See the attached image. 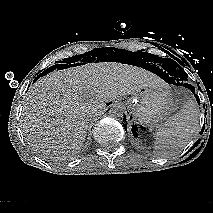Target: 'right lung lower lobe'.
<instances>
[{
	"label": "right lung lower lobe",
	"instance_id": "1",
	"mask_svg": "<svg viewBox=\"0 0 213 213\" xmlns=\"http://www.w3.org/2000/svg\"><path fill=\"white\" fill-rule=\"evenodd\" d=\"M69 65L68 64H56L54 66H51L50 68L46 69L42 74H47L49 73L50 71H53L54 69H62V68H65V67H68Z\"/></svg>",
	"mask_w": 213,
	"mask_h": 213
}]
</instances>
